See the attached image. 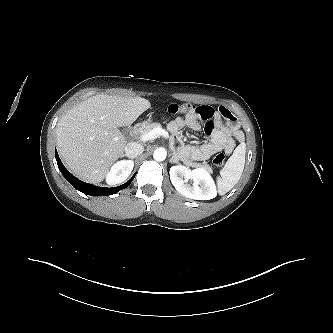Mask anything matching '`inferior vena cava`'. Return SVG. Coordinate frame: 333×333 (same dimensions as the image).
<instances>
[{
	"label": "inferior vena cava",
	"instance_id": "602c4592",
	"mask_svg": "<svg viewBox=\"0 0 333 333\" xmlns=\"http://www.w3.org/2000/svg\"><path fill=\"white\" fill-rule=\"evenodd\" d=\"M144 151V147L137 142H130L125 147V152L129 156H138L142 154Z\"/></svg>",
	"mask_w": 333,
	"mask_h": 333
}]
</instances>
